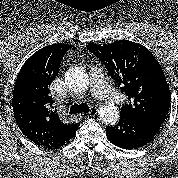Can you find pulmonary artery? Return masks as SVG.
Segmentation results:
<instances>
[{"label": "pulmonary artery", "instance_id": "pulmonary-artery-1", "mask_svg": "<svg viewBox=\"0 0 178 178\" xmlns=\"http://www.w3.org/2000/svg\"><path fill=\"white\" fill-rule=\"evenodd\" d=\"M90 92L95 97L113 104H118L123 100V96L108 85L101 69L97 66L91 67Z\"/></svg>", "mask_w": 178, "mask_h": 178}]
</instances>
